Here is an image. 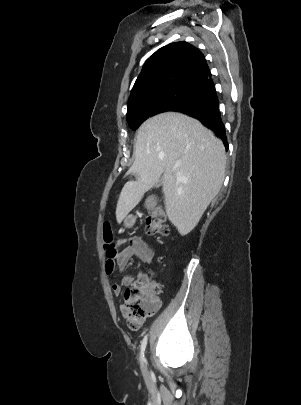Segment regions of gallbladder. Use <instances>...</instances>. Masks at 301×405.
<instances>
[{
  "label": "gallbladder",
  "mask_w": 301,
  "mask_h": 405,
  "mask_svg": "<svg viewBox=\"0 0 301 405\" xmlns=\"http://www.w3.org/2000/svg\"><path fill=\"white\" fill-rule=\"evenodd\" d=\"M161 184H162V179H160V180L155 184V187H160Z\"/></svg>",
  "instance_id": "obj_1"
}]
</instances>
